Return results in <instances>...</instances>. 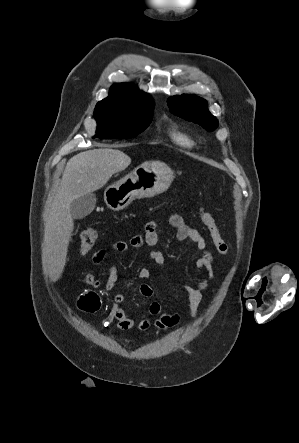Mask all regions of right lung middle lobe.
<instances>
[{"instance_id": "right-lung-middle-lobe-1", "label": "right lung middle lobe", "mask_w": 299, "mask_h": 443, "mask_svg": "<svg viewBox=\"0 0 299 443\" xmlns=\"http://www.w3.org/2000/svg\"><path fill=\"white\" fill-rule=\"evenodd\" d=\"M154 106L138 107L119 102H98L94 110L100 139H129L143 132L152 121Z\"/></svg>"}]
</instances>
